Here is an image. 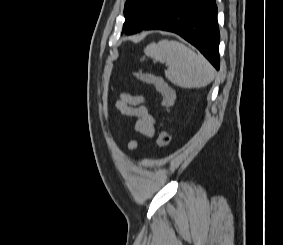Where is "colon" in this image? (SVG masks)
Here are the masks:
<instances>
[{
  "mask_svg": "<svg viewBox=\"0 0 283 245\" xmlns=\"http://www.w3.org/2000/svg\"><path fill=\"white\" fill-rule=\"evenodd\" d=\"M134 76L144 84L153 86L162 95L161 107L169 111L175 101L173 89L163 80L162 77L144 70H136ZM171 137L166 129H162L157 137V144L160 149H165L170 143Z\"/></svg>",
  "mask_w": 283,
  "mask_h": 245,
  "instance_id": "1",
  "label": "colon"
}]
</instances>
